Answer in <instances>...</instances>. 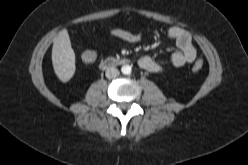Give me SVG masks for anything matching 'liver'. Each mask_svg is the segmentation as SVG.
Instances as JSON below:
<instances>
[{
    "instance_id": "1",
    "label": "liver",
    "mask_w": 248,
    "mask_h": 165,
    "mask_svg": "<svg viewBox=\"0 0 248 165\" xmlns=\"http://www.w3.org/2000/svg\"><path fill=\"white\" fill-rule=\"evenodd\" d=\"M52 64L55 74L62 82L69 81L75 73V53L67 29L61 30L53 39Z\"/></svg>"
}]
</instances>
